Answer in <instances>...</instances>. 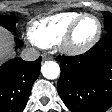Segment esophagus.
<instances>
[{
  "label": "esophagus",
  "mask_w": 112,
  "mask_h": 112,
  "mask_svg": "<svg viewBox=\"0 0 112 112\" xmlns=\"http://www.w3.org/2000/svg\"><path fill=\"white\" fill-rule=\"evenodd\" d=\"M52 57L51 56H49V55H43V60H49V59H51Z\"/></svg>",
  "instance_id": "34e87169"
}]
</instances>
